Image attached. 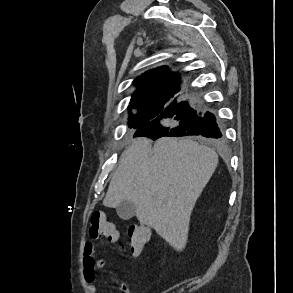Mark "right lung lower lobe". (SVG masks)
Wrapping results in <instances>:
<instances>
[{"label":"right lung lower lobe","instance_id":"1","mask_svg":"<svg viewBox=\"0 0 293 293\" xmlns=\"http://www.w3.org/2000/svg\"><path fill=\"white\" fill-rule=\"evenodd\" d=\"M200 135L220 140L222 133L215 116L202 112L188 100H174L159 116L139 127L134 136L156 140L163 136Z\"/></svg>","mask_w":293,"mask_h":293}]
</instances>
